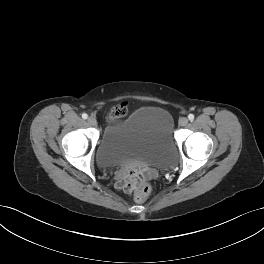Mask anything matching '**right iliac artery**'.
Segmentation results:
<instances>
[{"instance_id": "obj_1", "label": "right iliac artery", "mask_w": 264, "mask_h": 264, "mask_svg": "<svg viewBox=\"0 0 264 264\" xmlns=\"http://www.w3.org/2000/svg\"><path fill=\"white\" fill-rule=\"evenodd\" d=\"M82 118H83V119H87V118H88V115H87L86 113H83V114H82Z\"/></svg>"}]
</instances>
